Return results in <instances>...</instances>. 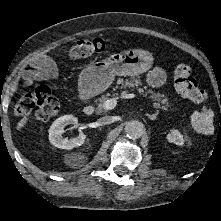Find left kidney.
<instances>
[{"label":"left kidney","instance_id":"1","mask_svg":"<svg viewBox=\"0 0 221 221\" xmlns=\"http://www.w3.org/2000/svg\"><path fill=\"white\" fill-rule=\"evenodd\" d=\"M167 140L178 146H182L185 142V139L178 130H171L170 133L167 135Z\"/></svg>","mask_w":221,"mask_h":221}]
</instances>
